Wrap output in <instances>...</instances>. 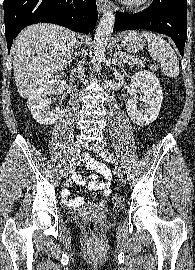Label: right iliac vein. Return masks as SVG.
<instances>
[{
	"label": "right iliac vein",
	"instance_id": "1",
	"mask_svg": "<svg viewBox=\"0 0 195 270\" xmlns=\"http://www.w3.org/2000/svg\"><path fill=\"white\" fill-rule=\"evenodd\" d=\"M80 153V141H76L71 149L70 159L64 170V177L66 182L69 181L68 177L74 172L75 163Z\"/></svg>",
	"mask_w": 195,
	"mask_h": 270
}]
</instances>
